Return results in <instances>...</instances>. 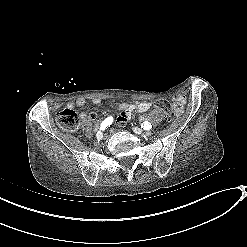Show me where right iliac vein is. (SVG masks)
<instances>
[{
    "label": "right iliac vein",
    "instance_id": "right-iliac-vein-1",
    "mask_svg": "<svg viewBox=\"0 0 247 247\" xmlns=\"http://www.w3.org/2000/svg\"><path fill=\"white\" fill-rule=\"evenodd\" d=\"M103 136H104V134H103L102 131H98L97 134H96L97 139H102Z\"/></svg>",
    "mask_w": 247,
    "mask_h": 247
}]
</instances>
